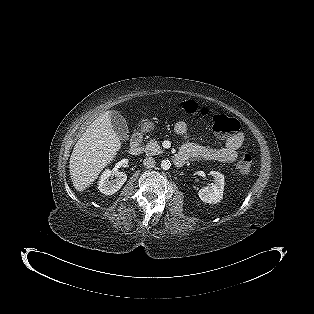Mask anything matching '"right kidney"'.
I'll return each mask as SVG.
<instances>
[{"mask_svg":"<svg viewBox=\"0 0 314 314\" xmlns=\"http://www.w3.org/2000/svg\"><path fill=\"white\" fill-rule=\"evenodd\" d=\"M115 176V179H112ZM127 176L124 172L105 170L100 179L98 188L101 193L105 195H112L116 193L126 182Z\"/></svg>","mask_w":314,"mask_h":314,"instance_id":"ca27d5eb","label":"right kidney"}]
</instances>
